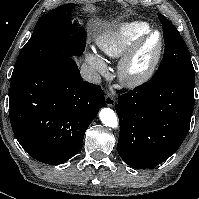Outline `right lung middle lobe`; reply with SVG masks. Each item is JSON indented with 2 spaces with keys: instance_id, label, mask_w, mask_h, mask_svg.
<instances>
[{
  "instance_id": "1",
  "label": "right lung middle lobe",
  "mask_w": 199,
  "mask_h": 199,
  "mask_svg": "<svg viewBox=\"0 0 199 199\" xmlns=\"http://www.w3.org/2000/svg\"><path fill=\"white\" fill-rule=\"evenodd\" d=\"M74 7L75 4H65L40 17L17 58L11 80L54 54H82L86 46V32L82 29L76 32L66 14Z\"/></svg>"
}]
</instances>
